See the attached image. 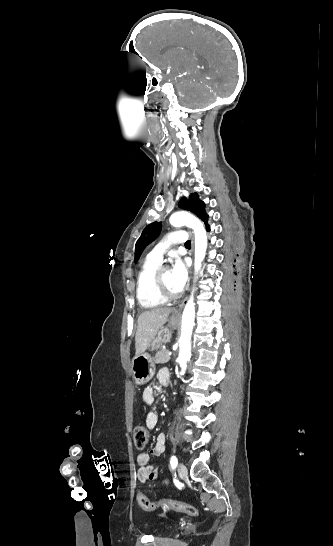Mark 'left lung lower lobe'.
Wrapping results in <instances>:
<instances>
[{
  "mask_svg": "<svg viewBox=\"0 0 333 546\" xmlns=\"http://www.w3.org/2000/svg\"><path fill=\"white\" fill-rule=\"evenodd\" d=\"M205 225H206L207 231H209V230H210V227H209V225H208V220L205 221Z\"/></svg>",
  "mask_w": 333,
  "mask_h": 546,
  "instance_id": "0a47b994",
  "label": "left lung lower lobe"
}]
</instances>
